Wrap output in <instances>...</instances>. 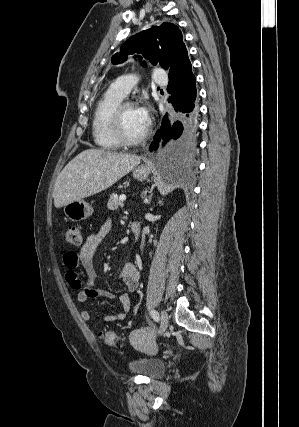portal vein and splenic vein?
Wrapping results in <instances>:
<instances>
[{"label": "portal vein and splenic vein", "mask_w": 299, "mask_h": 427, "mask_svg": "<svg viewBox=\"0 0 299 427\" xmlns=\"http://www.w3.org/2000/svg\"><path fill=\"white\" fill-rule=\"evenodd\" d=\"M121 201H125L126 200V196L125 195H121L119 198Z\"/></svg>", "instance_id": "portal-vein-and-splenic-vein-1"}]
</instances>
